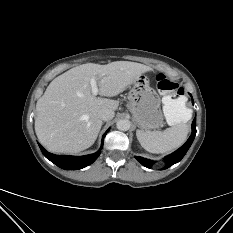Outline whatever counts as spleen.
Instances as JSON below:
<instances>
[{"label": "spleen", "mask_w": 233, "mask_h": 233, "mask_svg": "<svg viewBox=\"0 0 233 233\" xmlns=\"http://www.w3.org/2000/svg\"><path fill=\"white\" fill-rule=\"evenodd\" d=\"M163 102V112L171 127L163 132L136 131L141 146L148 152L156 154L173 151L185 142L188 134L186 123L192 117V112L186 108L183 99H171L167 96Z\"/></svg>", "instance_id": "1"}]
</instances>
